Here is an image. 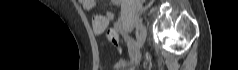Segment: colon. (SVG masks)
I'll return each mask as SVG.
<instances>
[{
    "label": "colon",
    "mask_w": 238,
    "mask_h": 70,
    "mask_svg": "<svg viewBox=\"0 0 238 70\" xmlns=\"http://www.w3.org/2000/svg\"><path fill=\"white\" fill-rule=\"evenodd\" d=\"M107 37L113 44H118V34L115 28H111L107 32Z\"/></svg>",
    "instance_id": "obj_1"
}]
</instances>
